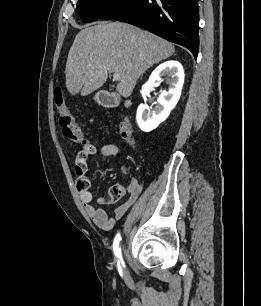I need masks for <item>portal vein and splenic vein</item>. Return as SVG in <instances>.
<instances>
[{
    "mask_svg": "<svg viewBox=\"0 0 261 306\" xmlns=\"http://www.w3.org/2000/svg\"><path fill=\"white\" fill-rule=\"evenodd\" d=\"M120 79H121L120 74H118V73L113 74V81H120Z\"/></svg>",
    "mask_w": 261,
    "mask_h": 306,
    "instance_id": "portal-vein-and-splenic-vein-1",
    "label": "portal vein and splenic vein"
}]
</instances>
